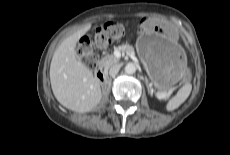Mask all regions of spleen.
<instances>
[{"instance_id": "3e777b00", "label": "spleen", "mask_w": 230, "mask_h": 155, "mask_svg": "<svg viewBox=\"0 0 230 155\" xmlns=\"http://www.w3.org/2000/svg\"><path fill=\"white\" fill-rule=\"evenodd\" d=\"M192 90L191 84H185L175 96H173L168 103L166 104V110L167 111H173L177 109L182 103L186 101V99L189 97Z\"/></svg>"}]
</instances>
